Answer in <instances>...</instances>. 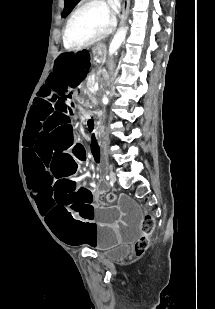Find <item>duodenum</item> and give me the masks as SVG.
Instances as JSON below:
<instances>
[{
    "instance_id": "410a0bca",
    "label": "duodenum",
    "mask_w": 215,
    "mask_h": 309,
    "mask_svg": "<svg viewBox=\"0 0 215 309\" xmlns=\"http://www.w3.org/2000/svg\"><path fill=\"white\" fill-rule=\"evenodd\" d=\"M101 116L98 113L90 114L87 120V126L95 129L96 125L100 122Z\"/></svg>"
}]
</instances>
